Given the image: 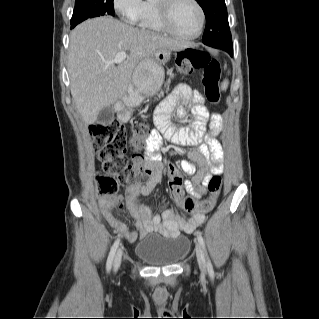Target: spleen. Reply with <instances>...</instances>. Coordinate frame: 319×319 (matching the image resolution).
<instances>
[{"label":"spleen","mask_w":319,"mask_h":319,"mask_svg":"<svg viewBox=\"0 0 319 319\" xmlns=\"http://www.w3.org/2000/svg\"><path fill=\"white\" fill-rule=\"evenodd\" d=\"M229 82L227 80L223 81V83L221 84V89L222 90H226L228 87Z\"/></svg>","instance_id":"1"}]
</instances>
